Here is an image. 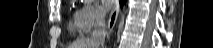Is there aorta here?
<instances>
[{"label": "aorta", "instance_id": "1", "mask_svg": "<svg viewBox=\"0 0 213 48\" xmlns=\"http://www.w3.org/2000/svg\"><path fill=\"white\" fill-rule=\"evenodd\" d=\"M85 3H89L91 2L92 0H83Z\"/></svg>", "mask_w": 213, "mask_h": 48}]
</instances>
